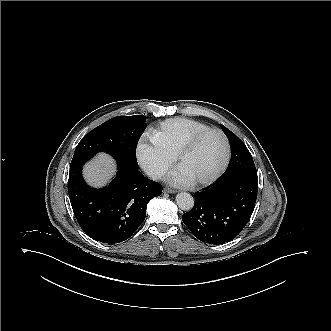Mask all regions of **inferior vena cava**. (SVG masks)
I'll return each mask as SVG.
<instances>
[{
  "label": "inferior vena cava",
  "mask_w": 331,
  "mask_h": 331,
  "mask_svg": "<svg viewBox=\"0 0 331 331\" xmlns=\"http://www.w3.org/2000/svg\"><path fill=\"white\" fill-rule=\"evenodd\" d=\"M145 174L153 180L161 179L164 176V171L156 167H146L144 169Z\"/></svg>",
  "instance_id": "inferior-vena-cava-1"
}]
</instances>
